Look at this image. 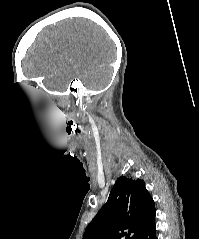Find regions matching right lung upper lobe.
Returning a JSON list of instances; mask_svg holds the SVG:
<instances>
[{"instance_id": "obj_1", "label": "right lung upper lobe", "mask_w": 199, "mask_h": 239, "mask_svg": "<svg viewBox=\"0 0 199 239\" xmlns=\"http://www.w3.org/2000/svg\"><path fill=\"white\" fill-rule=\"evenodd\" d=\"M155 214L154 201L144 181L121 176L106 204L87 226L83 239H121L124 236L135 239Z\"/></svg>"}]
</instances>
